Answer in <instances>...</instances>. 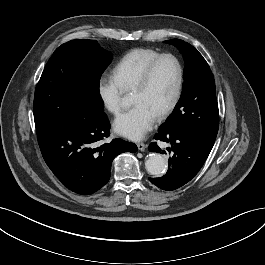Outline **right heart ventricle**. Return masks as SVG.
<instances>
[{"label": "right heart ventricle", "mask_w": 265, "mask_h": 265, "mask_svg": "<svg viewBox=\"0 0 265 265\" xmlns=\"http://www.w3.org/2000/svg\"><path fill=\"white\" fill-rule=\"evenodd\" d=\"M160 53L149 48H136L123 55L113 68V77L123 91L133 89L144 68Z\"/></svg>", "instance_id": "right-heart-ventricle-1"}]
</instances>
